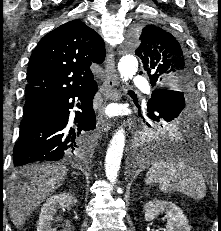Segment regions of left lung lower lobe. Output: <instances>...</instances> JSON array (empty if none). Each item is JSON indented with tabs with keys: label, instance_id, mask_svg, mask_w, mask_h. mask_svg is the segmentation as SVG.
<instances>
[{
	"label": "left lung lower lobe",
	"instance_id": "1",
	"mask_svg": "<svg viewBox=\"0 0 221 231\" xmlns=\"http://www.w3.org/2000/svg\"><path fill=\"white\" fill-rule=\"evenodd\" d=\"M175 95L173 91L166 90V89H156L152 93L151 101L156 104L164 105V104H171L175 105L174 103ZM178 108V107H175ZM175 117L172 114H165L159 120L169 122L173 120ZM164 141L167 144L174 145L186 153H191L192 155H198L196 153L199 149L202 148L201 146V125L199 121L191 120L184 125L180 126L176 130L169 131L164 135ZM139 153V152H138ZM160 154L159 149L150 150L149 152H142L139 153L141 158L152 159L157 157Z\"/></svg>",
	"mask_w": 221,
	"mask_h": 231
}]
</instances>
